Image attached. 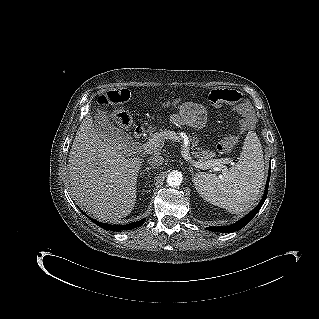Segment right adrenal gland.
Wrapping results in <instances>:
<instances>
[{"label": "right adrenal gland", "instance_id": "2a0ac1e0", "mask_svg": "<svg viewBox=\"0 0 319 319\" xmlns=\"http://www.w3.org/2000/svg\"><path fill=\"white\" fill-rule=\"evenodd\" d=\"M151 169H152L151 167H146V169L142 170V172L140 173V176H142L145 173H149Z\"/></svg>", "mask_w": 319, "mask_h": 319}]
</instances>
